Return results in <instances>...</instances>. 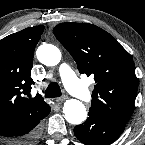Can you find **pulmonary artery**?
I'll return each instance as SVG.
<instances>
[{
  "label": "pulmonary artery",
  "instance_id": "obj_1",
  "mask_svg": "<svg viewBox=\"0 0 145 145\" xmlns=\"http://www.w3.org/2000/svg\"><path fill=\"white\" fill-rule=\"evenodd\" d=\"M60 75L67 88L72 94L84 102L91 101V94L89 90L82 84V82L75 76L71 68L63 64L60 67Z\"/></svg>",
  "mask_w": 145,
  "mask_h": 145
}]
</instances>
